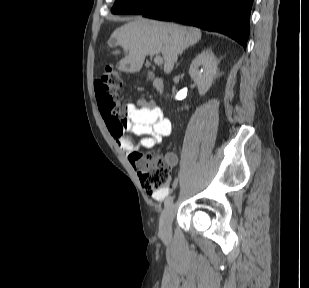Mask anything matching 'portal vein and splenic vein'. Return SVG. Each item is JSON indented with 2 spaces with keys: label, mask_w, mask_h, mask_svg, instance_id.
Masks as SVG:
<instances>
[{
  "label": "portal vein and splenic vein",
  "mask_w": 309,
  "mask_h": 288,
  "mask_svg": "<svg viewBox=\"0 0 309 288\" xmlns=\"http://www.w3.org/2000/svg\"><path fill=\"white\" fill-rule=\"evenodd\" d=\"M154 63L158 66H161L163 64V58L161 56H155Z\"/></svg>",
  "instance_id": "portal-vein-and-splenic-vein-1"
}]
</instances>
